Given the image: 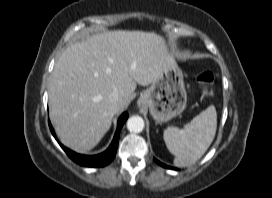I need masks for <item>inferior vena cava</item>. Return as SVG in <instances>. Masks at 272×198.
Masks as SVG:
<instances>
[{
	"label": "inferior vena cava",
	"instance_id": "obj_1",
	"mask_svg": "<svg viewBox=\"0 0 272 198\" xmlns=\"http://www.w3.org/2000/svg\"><path fill=\"white\" fill-rule=\"evenodd\" d=\"M109 100L113 103H117L120 100V94L118 90H114L113 92L110 93Z\"/></svg>",
	"mask_w": 272,
	"mask_h": 198
}]
</instances>
